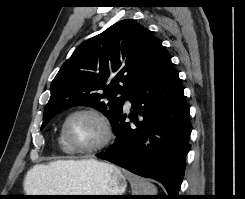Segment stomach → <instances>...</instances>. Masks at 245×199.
Instances as JSON below:
<instances>
[{
    "label": "stomach",
    "mask_w": 245,
    "mask_h": 199,
    "mask_svg": "<svg viewBox=\"0 0 245 199\" xmlns=\"http://www.w3.org/2000/svg\"><path fill=\"white\" fill-rule=\"evenodd\" d=\"M67 191L48 195H123L127 177L117 166L94 160L65 181ZM111 196L47 197L43 199H100Z\"/></svg>",
    "instance_id": "1"
}]
</instances>
